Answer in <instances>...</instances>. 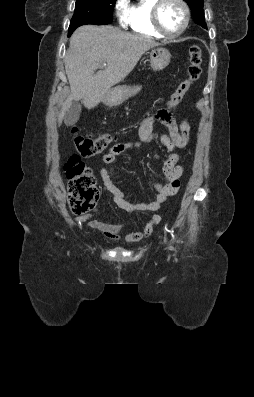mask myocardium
<instances>
[{
	"label": "myocardium",
	"instance_id": "f54148a6",
	"mask_svg": "<svg viewBox=\"0 0 254 397\" xmlns=\"http://www.w3.org/2000/svg\"><path fill=\"white\" fill-rule=\"evenodd\" d=\"M166 1L167 0H156L155 1L154 5L152 7V12H151L152 24H153L154 29L161 36L166 37V38H177V37L181 36L186 31V29L189 25L190 9H189L188 4L184 0H175L183 8L184 20H183V24H182L181 28L177 32L169 33L163 28L161 21H160V11H161L163 4Z\"/></svg>",
	"mask_w": 254,
	"mask_h": 397
}]
</instances>
